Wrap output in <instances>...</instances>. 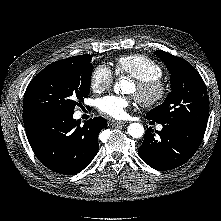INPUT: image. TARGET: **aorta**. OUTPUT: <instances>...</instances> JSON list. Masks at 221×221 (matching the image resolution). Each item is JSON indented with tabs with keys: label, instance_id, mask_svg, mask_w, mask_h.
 I'll list each match as a JSON object with an SVG mask.
<instances>
[{
	"label": "aorta",
	"instance_id": "obj_1",
	"mask_svg": "<svg viewBox=\"0 0 221 221\" xmlns=\"http://www.w3.org/2000/svg\"><path fill=\"white\" fill-rule=\"evenodd\" d=\"M127 83L126 80L122 79L120 82L116 83L115 91L122 88L123 84ZM128 134L133 138H140L144 135V127L140 123H132L128 126Z\"/></svg>",
	"mask_w": 221,
	"mask_h": 221
}]
</instances>
